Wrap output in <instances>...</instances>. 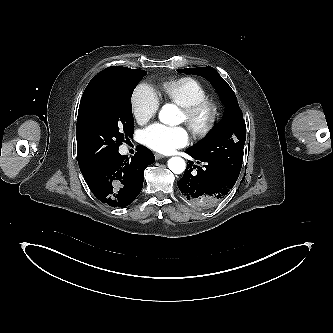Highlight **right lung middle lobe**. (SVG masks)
Wrapping results in <instances>:
<instances>
[{"mask_svg": "<svg viewBox=\"0 0 333 333\" xmlns=\"http://www.w3.org/2000/svg\"><path fill=\"white\" fill-rule=\"evenodd\" d=\"M146 74L124 67L102 75L90 86L76 125L79 167H97L117 154L131 135V95Z\"/></svg>", "mask_w": 333, "mask_h": 333, "instance_id": "obj_1", "label": "right lung middle lobe"}]
</instances>
